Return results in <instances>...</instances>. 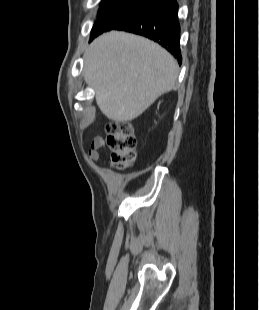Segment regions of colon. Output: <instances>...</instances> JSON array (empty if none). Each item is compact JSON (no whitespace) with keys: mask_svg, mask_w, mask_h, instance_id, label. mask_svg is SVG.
I'll list each match as a JSON object with an SVG mask.
<instances>
[{"mask_svg":"<svg viewBox=\"0 0 259 310\" xmlns=\"http://www.w3.org/2000/svg\"><path fill=\"white\" fill-rule=\"evenodd\" d=\"M107 143L112 150V164L127 168L136 159V137L133 127L127 122H113L107 126Z\"/></svg>","mask_w":259,"mask_h":310,"instance_id":"obj_1","label":"colon"}]
</instances>
